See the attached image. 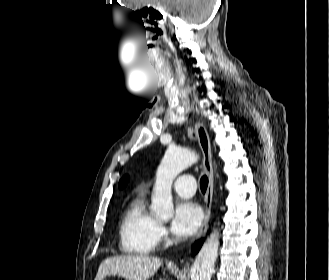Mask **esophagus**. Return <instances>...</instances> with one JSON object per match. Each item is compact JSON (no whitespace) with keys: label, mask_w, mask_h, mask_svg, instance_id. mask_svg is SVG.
I'll return each mask as SVG.
<instances>
[{"label":"esophagus","mask_w":329,"mask_h":280,"mask_svg":"<svg viewBox=\"0 0 329 280\" xmlns=\"http://www.w3.org/2000/svg\"><path fill=\"white\" fill-rule=\"evenodd\" d=\"M195 129L198 137V142L203 154V166L204 170L208 176V187L205 196V210L204 218L201 225V228L198 233V238L204 236L208 229L210 213H211V204L213 197V186H214V175H213V165H212V153L210 139L207 133L205 126L201 122L195 124Z\"/></svg>","instance_id":"1"}]
</instances>
